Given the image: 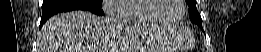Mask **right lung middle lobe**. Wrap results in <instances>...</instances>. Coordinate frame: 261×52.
Segmentation results:
<instances>
[{
	"label": "right lung middle lobe",
	"mask_w": 261,
	"mask_h": 52,
	"mask_svg": "<svg viewBox=\"0 0 261 52\" xmlns=\"http://www.w3.org/2000/svg\"><path fill=\"white\" fill-rule=\"evenodd\" d=\"M81 2L96 7H102V0H81Z\"/></svg>",
	"instance_id": "dd1d6c3e"
}]
</instances>
